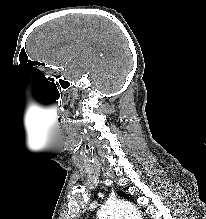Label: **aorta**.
I'll use <instances>...</instances> for the list:
<instances>
[{"label": "aorta", "mask_w": 206, "mask_h": 219, "mask_svg": "<svg viewBox=\"0 0 206 219\" xmlns=\"http://www.w3.org/2000/svg\"><path fill=\"white\" fill-rule=\"evenodd\" d=\"M98 219H143L135 206L124 200L108 202L97 214Z\"/></svg>", "instance_id": "762f6f07"}]
</instances>
